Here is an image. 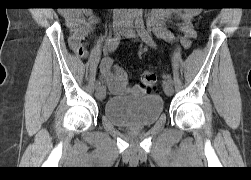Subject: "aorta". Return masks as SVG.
<instances>
[{
	"instance_id": "1",
	"label": "aorta",
	"mask_w": 251,
	"mask_h": 180,
	"mask_svg": "<svg viewBox=\"0 0 251 180\" xmlns=\"http://www.w3.org/2000/svg\"><path fill=\"white\" fill-rule=\"evenodd\" d=\"M134 11H135V12L142 13L141 9H139V8L134 9Z\"/></svg>"
}]
</instances>
